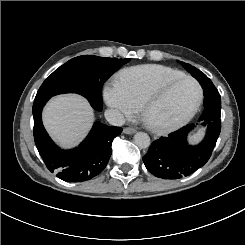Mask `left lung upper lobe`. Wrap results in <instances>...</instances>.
Here are the masks:
<instances>
[{"instance_id": "1", "label": "left lung upper lobe", "mask_w": 245, "mask_h": 245, "mask_svg": "<svg viewBox=\"0 0 245 245\" xmlns=\"http://www.w3.org/2000/svg\"><path fill=\"white\" fill-rule=\"evenodd\" d=\"M181 65L188 71L191 73V75L193 77H195L197 80L201 79L203 77H205L206 75L204 73H202L200 70H198L197 68H195L194 66H191L188 63H184V62H180Z\"/></svg>"}]
</instances>
